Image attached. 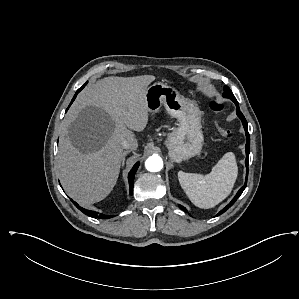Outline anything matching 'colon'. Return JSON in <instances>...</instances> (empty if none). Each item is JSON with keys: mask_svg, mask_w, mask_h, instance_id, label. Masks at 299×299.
<instances>
[{"mask_svg": "<svg viewBox=\"0 0 299 299\" xmlns=\"http://www.w3.org/2000/svg\"><path fill=\"white\" fill-rule=\"evenodd\" d=\"M210 108L214 113L218 114L223 110V105L219 101L213 100L210 103ZM218 132H219L221 138L224 140H231L233 137L232 131L227 127L219 126Z\"/></svg>", "mask_w": 299, "mask_h": 299, "instance_id": "1", "label": "colon"}]
</instances>
